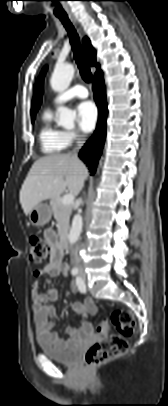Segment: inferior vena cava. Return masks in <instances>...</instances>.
<instances>
[{"instance_id":"inferior-vena-cava-1","label":"inferior vena cava","mask_w":168,"mask_h":406,"mask_svg":"<svg viewBox=\"0 0 168 406\" xmlns=\"http://www.w3.org/2000/svg\"><path fill=\"white\" fill-rule=\"evenodd\" d=\"M83 143H84V139H83V138H79L78 141H77V147H76V148L73 150V152L71 153L76 159H78L77 151L83 146ZM74 255H75L76 264L78 265V264H79V261H80V259H79V257H78V246H77L76 249H75Z\"/></svg>"}]
</instances>
